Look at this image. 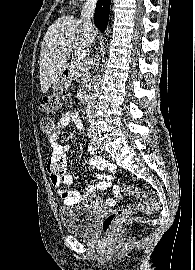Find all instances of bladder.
I'll list each match as a JSON object with an SVG mask.
<instances>
[{
	"label": "bladder",
	"instance_id": "31cf9c89",
	"mask_svg": "<svg viewBox=\"0 0 195 270\" xmlns=\"http://www.w3.org/2000/svg\"><path fill=\"white\" fill-rule=\"evenodd\" d=\"M98 211L97 207L83 205L61 208L59 215L66 232L73 235L86 236L93 230Z\"/></svg>",
	"mask_w": 195,
	"mask_h": 270
}]
</instances>
